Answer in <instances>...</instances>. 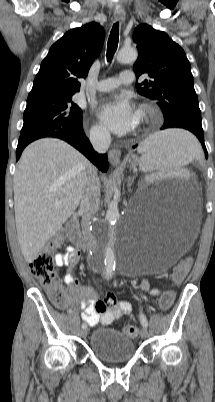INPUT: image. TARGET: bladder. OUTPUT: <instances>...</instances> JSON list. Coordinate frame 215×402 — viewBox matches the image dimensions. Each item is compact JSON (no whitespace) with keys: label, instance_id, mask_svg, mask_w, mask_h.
<instances>
[{"label":"bladder","instance_id":"bladder-1","mask_svg":"<svg viewBox=\"0 0 215 402\" xmlns=\"http://www.w3.org/2000/svg\"><path fill=\"white\" fill-rule=\"evenodd\" d=\"M93 355L105 362H121L131 359L135 354L133 340L113 328H97L89 339Z\"/></svg>","mask_w":215,"mask_h":402}]
</instances>
